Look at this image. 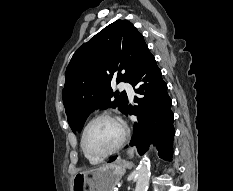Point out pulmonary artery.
I'll return each mask as SVG.
<instances>
[{
	"label": "pulmonary artery",
	"mask_w": 233,
	"mask_h": 191,
	"mask_svg": "<svg viewBox=\"0 0 233 191\" xmlns=\"http://www.w3.org/2000/svg\"><path fill=\"white\" fill-rule=\"evenodd\" d=\"M120 88L125 90L129 96V98L132 100L133 99V96H134V91H133V88L132 86L129 84V83H126V82H122L120 84Z\"/></svg>",
	"instance_id": "1"
}]
</instances>
